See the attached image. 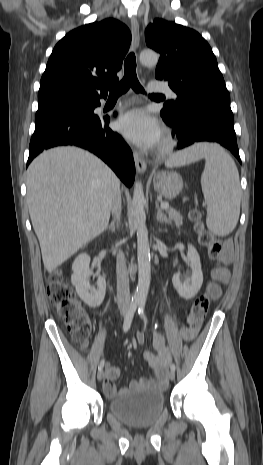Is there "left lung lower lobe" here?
Segmentation results:
<instances>
[{"mask_svg":"<svg viewBox=\"0 0 263 465\" xmlns=\"http://www.w3.org/2000/svg\"><path fill=\"white\" fill-rule=\"evenodd\" d=\"M160 114L164 122L174 129L173 135L178 139L177 149L196 142H215L229 149L241 162L230 107L204 103L172 115L163 111Z\"/></svg>","mask_w":263,"mask_h":465,"instance_id":"left-lung-lower-lobe-1","label":"left lung lower lobe"}]
</instances>
